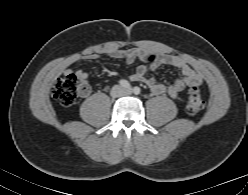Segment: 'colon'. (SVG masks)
I'll return each mask as SVG.
<instances>
[{"mask_svg": "<svg viewBox=\"0 0 248 195\" xmlns=\"http://www.w3.org/2000/svg\"><path fill=\"white\" fill-rule=\"evenodd\" d=\"M145 60L152 62L155 60L154 55H146ZM86 89V84L82 83L75 74H68L58 78L52 85L51 93L63 106L72 105L79 94ZM204 107V100L200 94L199 88L192 87L188 92L186 111L189 115H195Z\"/></svg>", "mask_w": 248, "mask_h": 195, "instance_id": "1", "label": "colon"}]
</instances>
